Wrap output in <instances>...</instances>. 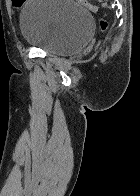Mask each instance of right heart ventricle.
Here are the masks:
<instances>
[{
  "label": "right heart ventricle",
  "mask_w": 140,
  "mask_h": 196,
  "mask_svg": "<svg viewBox=\"0 0 140 196\" xmlns=\"http://www.w3.org/2000/svg\"><path fill=\"white\" fill-rule=\"evenodd\" d=\"M6 192H20V191H6ZM28 192H35V191H28Z\"/></svg>",
  "instance_id": "right-heart-ventricle-1"
}]
</instances>
